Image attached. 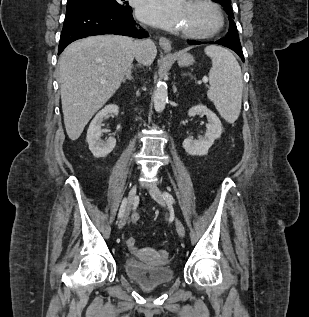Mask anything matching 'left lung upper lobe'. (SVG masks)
<instances>
[{"mask_svg":"<svg viewBox=\"0 0 309 317\" xmlns=\"http://www.w3.org/2000/svg\"><path fill=\"white\" fill-rule=\"evenodd\" d=\"M212 1L220 3L224 7L225 11L227 12L229 16L230 27H229L228 33L226 34V38L236 42H240L237 27L235 22L233 21L234 14H233V9L231 5V0H212Z\"/></svg>","mask_w":309,"mask_h":317,"instance_id":"5c2ea615","label":"left lung upper lobe"}]
</instances>
